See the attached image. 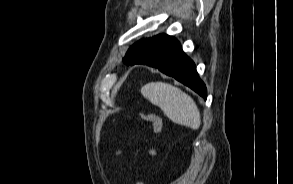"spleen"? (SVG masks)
Segmentation results:
<instances>
[{"label":"spleen","mask_w":293,"mask_h":184,"mask_svg":"<svg viewBox=\"0 0 293 184\" xmlns=\"http://www.w3.org/2000/svg\"><path fill=\"white\" fill-rule=\"evenodd\" d=\"M141 94L152 104L160 107L174 123L198 129L200 111L194 100L178 87L165 82H151L141 88Z\"/></svg>","instance_id":"3e777b00"}]
</instances>
